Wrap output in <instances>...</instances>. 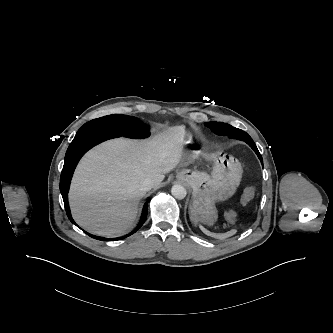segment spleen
<instances>
[{
  "label": "spleen",
  "instance_id": "1",
  "mask_svg": "<svg viewBox=\"0 0 333 333\" xmlns=\"http://www.w3.org/2000/svg\"><path fill=\"white\" fill-rule=\"evenodd\" d=\"M200 228L206 235L212 236V237H215V238H218V239H224V238L230 237V236H232L236 233L235 229H233L231 231H228L226 233L216 234V233H211L210 231L205 229L203 226H200Z\"/></svg>",
  "mask_w": 333,
  "mask_h": 333
}]
</instances>
